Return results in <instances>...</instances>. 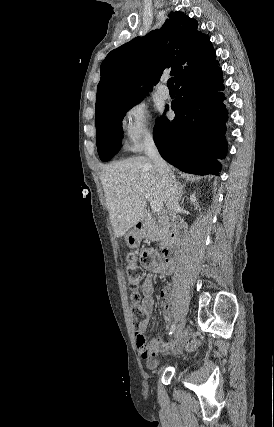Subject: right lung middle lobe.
Here are the masks:
<instances>
[{"label":"right lung middle lobe","instance_id":"right-lung-middle-lobe-1","mask_svg":"<svg viewBox=\"0 0 274 427\" xmlns=\"http://www.w3.org/2000/svg\"><path fill=\"white\" fill-rule=\"evenodd\" d=\"M142 98L143 96L130 97L96 113V143L99 157L103 162L109 161L120 150L122 119Z\"/></svg>","mask_w":274,"mask_h":427}]
</instances>
